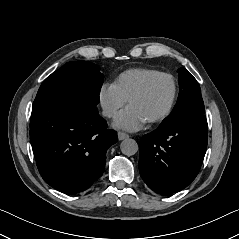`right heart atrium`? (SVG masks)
Returning <instances> with one entry per match:
<instances>
[{
    "mask_svg": "<svg viewBox=\"0 0 239 239\" xmlns=\"http://www.w3.org/2000/svg\"><path fill=\"white\" fill-rule=\"evenodd\" d=\"M99 103L105 117L113 118L125 105L126 100L118 92L114 84L104 83L99 91Z\"/></svg>",
    "mask_w": 239,
    "mask_h": 239,
    "instance_id": "obj_1",
    "label": "right heart atrium"
}]
</instances>
